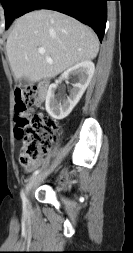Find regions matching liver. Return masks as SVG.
<instances>
[{
	"label": "liver",
	"instance_id": "1",
	"mask_svg": "<svg viewBox=\"0 0 133 253\" xmlns=\"http://www.w3.org/2000/svg\"><path fill=\"white\" fill-rule=\"evenodd\" d=\"M45 49V54L38 52ZM16 80L50 79L73 65L94 59L99 51L96 34L65 14L40 10L18 18L6 44ZM46 57L52 59L49 63Z\"/></svg>",
	"mask_w": 133,
	"mask_h": 253
}]
</instances>
